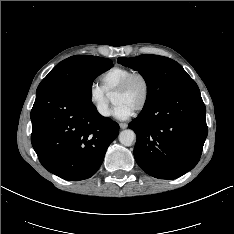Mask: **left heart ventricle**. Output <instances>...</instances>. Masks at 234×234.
Masks as SVG:
<instances>
[{"label":"left heart ventricle","instance_id":"obj_1","mask_svg":"<svg viewBox=\"0 0 234 234\" xmlns=\"http://www.w3.org/2000/svg\"><path fill=\"white\" fill-rule=\"evenodd\" d=\"M144 97V84L140 79H136L129 89L124 93L114 94L112 100L114 104H123L135 111Z\"/></svg>","mask_w":234,"mask_h":234}]
</instances>
